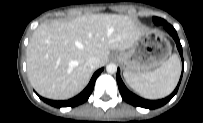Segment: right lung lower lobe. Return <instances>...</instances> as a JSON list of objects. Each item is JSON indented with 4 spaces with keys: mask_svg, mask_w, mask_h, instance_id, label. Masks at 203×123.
I'll list each match as a JSON object with an SVG mask.
<instances>
[{
    "mask_svg": "<svg viewBox=\"0 0 203 123\" xmlns=\"http://www.w3.org/2000/svg\"><path fill=\"white\" fill-rule=\"evenodd\" d=\"M103 68L99 69L98 71H96L94 73V75L92 76L88 86L76 97L66 100V101H54V100H49V99H45L40 97L44 102H46L47 104L60 108V107H73V106H77L79 104L84 103L89 96L91 95L93 88H94V84L95 81L97 79V77L99 76V74L102 72Z\"/></svg>",
    "mask_w": 203,
    "mask_h": 123,
    "instance_id": "98d812e1",
    "label": "right lung lower lobe"
}]
</instances>
